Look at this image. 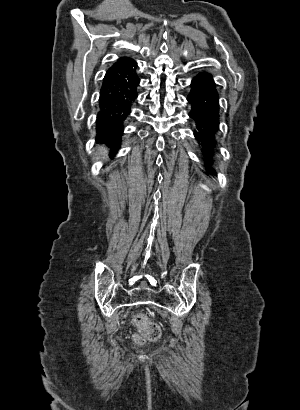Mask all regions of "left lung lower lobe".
<instances>
[{"mask_svg": "<svg viewBox=\"0 0 300 410\" xmlns=\"http://www.w3.org/2000/svg\"><path fill=\"white\" fill-rule=\"evenodd\" d=\"M187 100L191 104L189 116L196 124L194 136L203 154L206 174H216L212 165L219 129V96L210 74L201 72L192 80Z\"/></svg>", "mask_w": 300, "mask_h": 410, "instance_id": "obj_1", "label": "left lung lower lobe"}]
</instances>
